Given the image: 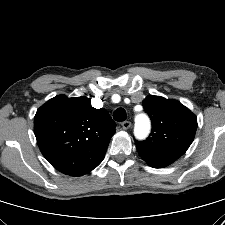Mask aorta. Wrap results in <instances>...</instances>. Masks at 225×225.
Wrapping results in <instances>:
<instances>
[{
	"label": "aorta",
	"mask_w": 225,
	"mask_h": 225,
	"mask_svg": "<svg viewBox=\"0 0 225 225\" xmlns=\"http://www.w3.org/2000/svg\"><path fill=\"white\" fill-rule=\"evenodd\" d=\"M150 131V121L144 114H140L136 117L134 133L137 138H145Z\"/></svg>",
	"instance_id": "obj_1"
}]
</instances>
